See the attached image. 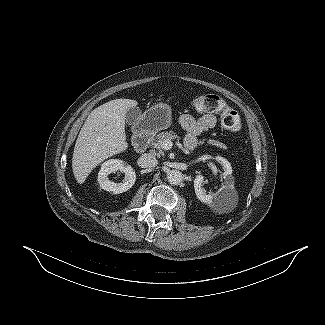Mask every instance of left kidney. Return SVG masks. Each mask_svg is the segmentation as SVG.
Instances as JSON below:
<instances>
[{"mask_svg": "<svg viewBox=\"0 0 325 325\" xmlns=\"http://www.w3.org/2000/svg\"><path fill=\"white\" fill-rule=\"evenodd\" d=\"M216 161L220 163L223 167L224 173V185L220 188L216 193L208 194L207 191L203 188L204 185V177L202 175H198L194 179V189L197 198L208 205H212L217 202L220 198H222L225 193H233L235 192L234 188V177L232 176V167L229 161L223 157L217 156Z\"/></svg>", "mask_w": 325, "mask_h": 325, "instance_id": "5707ae66", "label": "left kidney"}]
</instances>
